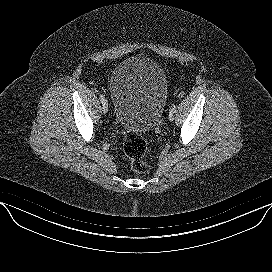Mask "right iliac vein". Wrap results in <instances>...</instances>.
<instances>
[{
    "instance_id": "63e3f726",
    "label": "right iliac vein",
    "mask_w": 272,
    "mask_h": 272,
    "mask_svg": "<svg viewBox=\"0 0 272 272\" xmlns=\"http://www.w3.org/2000/svg\"><path fill=\"white\" fill-rule=\"evenodd\" d=\"M102 111L104 113L108 112V103H107V100L105 101V103L102 104Z\"/></svg>"
}]
</instances>
